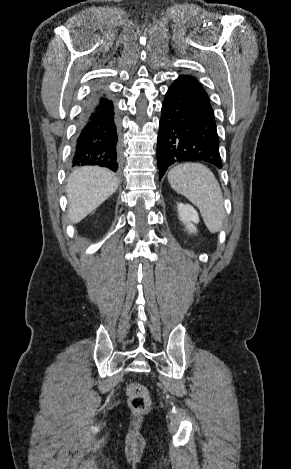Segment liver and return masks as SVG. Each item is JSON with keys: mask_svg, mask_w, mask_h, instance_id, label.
Masks as SVG:
<instances>
[{"mask_svg": "<svg viewBox=\"0 0 291 469\" xmlns=\"http://www.w3.org/2000/svg\"><path fill=\"white\" fill-rule=\"evenodd\" d=\"M118 188L114 173L99 167H84L67 180L68 217L75 224L99 207Z\"/></svg>", "mask_w": 291, "mask_h": 469, "instance_id": "liver-1", "label": "liver"}]
</instances>
